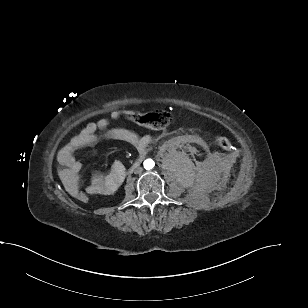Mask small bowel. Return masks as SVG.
Here are the masks:
<instances>
[{
	"label": "small bowel",
	"mask_w": 308,
	"mask_h": 308,
	"mask_svg": "<svg viewBox=\"0 0 308 308\" xmlns=\"http://www.w3.org/2000/svg\"><path fill=\"white\" fill-rule=\"evenodd\" d=\"M121 113L114 110L109 118H100L97 121L89 122L79 134L74 136L58 152V162L64 167L63 176L66 180V187L71 195L81 190L80 169L81 163L74 156V152L82 147L96 144L100 137L118 140L128 143L139 150H144L154 137L151 135L140 136L137 133L125 128H109L110 120H116ZM125 177V167L122 162L115 161L111 170L105 174L93 175L90 183L84 188L89 195H110L113 194L122 183Z\"/></svg>",
	"instance_id": "c3829d8e"
}]
</instances>
